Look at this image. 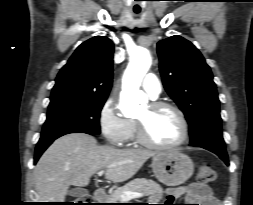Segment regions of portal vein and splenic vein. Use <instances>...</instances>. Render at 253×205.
<instances>
[{"instance_id": "1", "label": "portal vein and splenic vein", "mask_w": 253, "mask_h": 205, "mask_svg": "<svg viewBox=\"0 0 253 205\" xmlns=\"http://www.w3.org/2000/svg\"><path fill=\"white\" fill-rule=\"evenodd\" d=\"M98 176H102L104 174V170L99 171ZM143 194L139 192H130V191H125L122 195L121 198L124 201L132 200L134 198H140L142 197Z\"/></svg>"}]
</instances>
